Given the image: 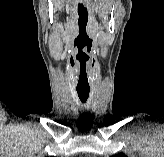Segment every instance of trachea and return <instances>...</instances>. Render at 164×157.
<instances>
[{"label":"trachea","mask_w":164,"mask_h":157,"mask_svg":"<svg viewBox=\"0 0 164 157\" xmlns=\"http://www.w3.org/2000/svg\"><path fill=\"white\" fill-rule=\"evenodd\" d=\"M90 89H78L77 93L82 103H85L89 97Z\"/></svg>","instance_id":"3493384b"}]
</instances>
